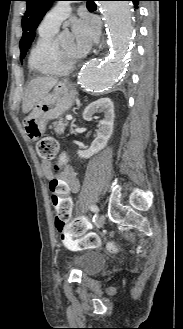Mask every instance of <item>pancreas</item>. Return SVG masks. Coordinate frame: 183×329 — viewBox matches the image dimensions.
Returning a JSON list of instances; mask_svg holds the SVG:
<instances>
[{
    "label": "pancreas",
    "mask_w": 183,
    "mask_h": 329,
    "mask_svg": "<svg viewBox=\"0 0 183 329\" xmlns=\"http://www.w3.org/2000/svg\"><path fill=\"white\" fill-rule=\"evenodd\" d=\"M53 125L55 126V132L57 134H63L65 127L68 125L67 121H64L63 119H60L58 122H54Z\"/></svg>",
    "instance_id": "pancreas-1"
}]
</instances>
